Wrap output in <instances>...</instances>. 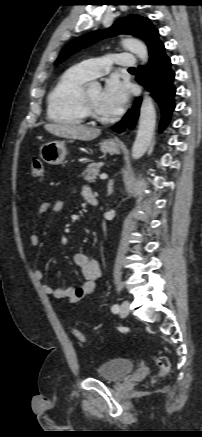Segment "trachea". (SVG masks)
<instances>
[{
    "label": "trachea",
    "mask_w": 202,
    "mask_h": 437,
    "mask_svg": "<svg viewBox=\"0 0 202 437\" xmlns=\"http://www.w3.org/2000/svg\"><path fill=\"white\" fill-rule=\"evenodd\" d=\"M129 70H135V68H130Z\"/></svg>",
    "instance_id": "3493384b"
}]
</instances>
